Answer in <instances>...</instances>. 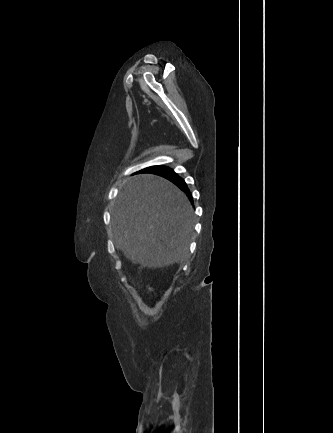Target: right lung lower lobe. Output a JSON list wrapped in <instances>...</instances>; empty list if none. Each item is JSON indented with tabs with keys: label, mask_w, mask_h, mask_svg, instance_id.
<instances>
[{
	"label": "right lung lower lobe",
	"mask_w": 333,
	"mask_h": 433,
	"mask_svg": "<svg viewBox=\"0 0 333 433\" xmlns=\"http://www.w3.org/2000/svg\"><path fill=\"white\" fill-rule=\"evenodd\" d=\"M139 173H153L168 179L169 181L177 185L181 190H183L192 201L191 193L185 181L181 177H179L177 173H175L172 169L165 166H152L141 170Z\"/></svg>",
	"instance_id": "1"
}]
</instances>
